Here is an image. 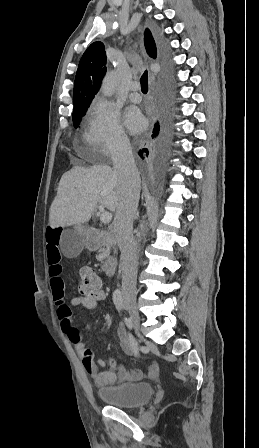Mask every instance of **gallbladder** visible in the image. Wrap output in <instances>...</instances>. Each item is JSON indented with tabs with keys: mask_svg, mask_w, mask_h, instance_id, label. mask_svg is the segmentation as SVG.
Returning <instances> with one entry per match:
<instances>
[{
	"mask_svg": "<svg viewBox=\"0 0 259 448\" xmlns=\"http://www.w3.org/2000/svg\"><path fill=\"white\" fill-rule=\"evenodd\" d=\"M85 246V236L74 234L71 230H64L60 240V248L66 258H77Z\"/></svg>",
	"mask_w": 259,
	"mask_h": 448,
	"instance_id": "gallbladder-1",
	"label": "gallbladder"
}]
</instances>
